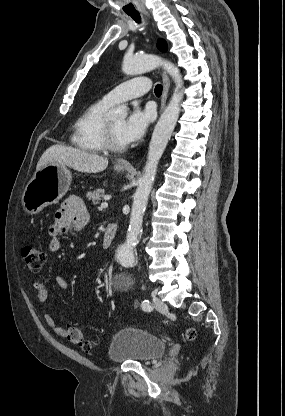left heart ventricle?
Listing matches in <instances>:
<instances>
[{"label":"left heart ventricle","mask_w":285,"mask_h":416,"mask_svg":"<svg viewBox=\"0 0 285 416\" xmlns=\"http://www.w3.org/2000/svg\"><path fill=\"white\" fill-rule=\"evenodd\" d=\"M108 122H109V127L111 130L113 141L117 145H124L120 137V128L124 122V119L121 117H113V118L108 119Z\"/></svg>","instance_id":"1"}]
</instances>
